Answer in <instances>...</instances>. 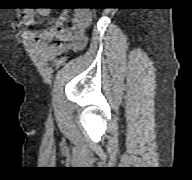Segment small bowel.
Masks as SVG:
<instances>
[{"mask_svg": "<svg viewBox=\"0 0 192 180\" xmlns=\"http://www.w3.org/2000/svg\"><path fill=\"white\" fill-rule=\"evenodd\" d=\"M48 12L47 9H27L23 12L24 23L33 25L37 14L47 15ZM66 18L67 12L61 11L52 26L38 33L25 31L23 37L34 41L36 50L45 57H53L70 49L79 51L86 45V31L92 22V15L89 12L76 11L72 16L71 25L67 28L63 27Z\"/></svg>", "mask_w": 192, "mask_h": 180, "instance_id": "obj_1", "label": "small bowel"}]
</instances>
